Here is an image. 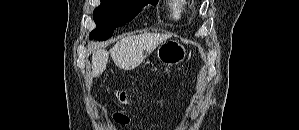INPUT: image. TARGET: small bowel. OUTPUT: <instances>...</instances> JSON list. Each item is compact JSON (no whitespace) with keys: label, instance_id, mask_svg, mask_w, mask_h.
<instances>
[{"label":"small bowel","instance_id":"c3829d8e","mask_svg":"<svg viewBox=\"0 0 299 130\" xmlns=\"http://www.w3.org/2000/svg\"><path fill=\"white\" fill-rule=\"evenodd\" d=\"M112 117L114 119L115 122L119 123V124H122V125H125L129 122V118L121 113H118V112H114L112 114Z\"/></svg>","mask_w":299,"mask_h":130}]
</instances>
